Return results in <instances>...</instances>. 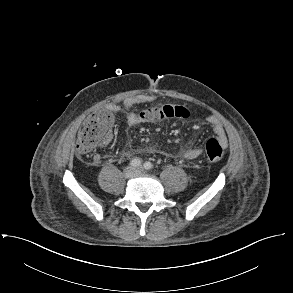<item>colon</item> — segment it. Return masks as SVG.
I'll return each instance as SVG.
<instances>
[{
  "label": "colon",
  "instance_id": "colon-1",
  "mask_svg": "<svg viewBox=\"0 0 293 293\" xmlns=\"http://www.w3.org/2000/svg\"><path fill=\"white\" fill-rule=\"evenodd\" d=\"M190 112L179 105L164 104L143 111L141 118L156 120L161 118H187ZM113 114L101 110L90 114L85 120L77 138L76 150L80 155L90 153L95 147L105 144L110 140L113 127ZM206 158L210 162H217L224 156V149L218 140L212 138L205 145Z\"/></svg>",
  "mask_w": 293,
  "mask_h": 293
}]
</instances>
